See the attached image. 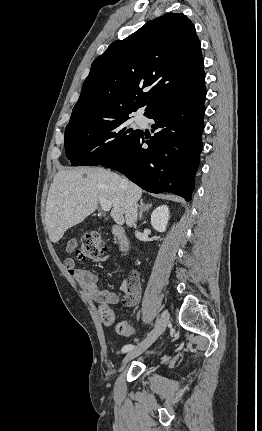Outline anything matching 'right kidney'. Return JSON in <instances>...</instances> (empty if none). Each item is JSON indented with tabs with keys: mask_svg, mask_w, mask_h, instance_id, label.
<instances>
[{
	"mask_svg": "<svg viewBox=\"0 0 262 431\" xmlns=\"http://www.w3.org/2000/svg\"><path fill=\"white\" fill-rule=\"evenodd\" d=\"M169 220V210L166 205L157 207L151 214V225L158 232L166 230Z\"/></svg>",
	"mask_w": 262,
	"mask_h": 431,
	"instance_id": "obj_1",
	"label": "right kidney"
}]
</instances>
